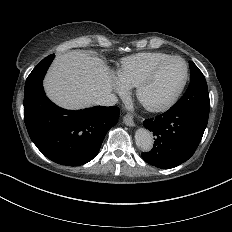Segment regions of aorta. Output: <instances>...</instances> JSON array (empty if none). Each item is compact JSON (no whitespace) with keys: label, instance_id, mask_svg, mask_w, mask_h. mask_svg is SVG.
<instances>
[{"label":"aorta","instance_id":"obj_1","mask_svg":"<svg viewBox=\"0 0 232 232\" xmlns=\"http://www.w3.org/2000/svg\"><path fill=\"white\" fill-rule=\"evenodd\" d=\"M135 142L143 152H148L152 149L154 140L147 129L139 128L135 133Z\"/></svg>","mask_w":232,"mask_h":232}]
</instances>
